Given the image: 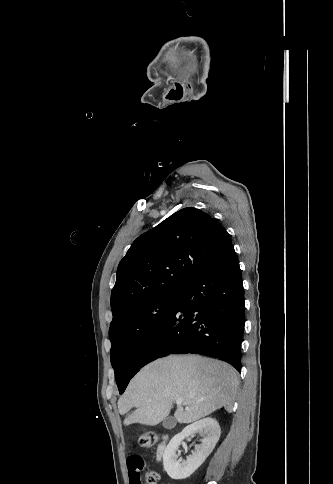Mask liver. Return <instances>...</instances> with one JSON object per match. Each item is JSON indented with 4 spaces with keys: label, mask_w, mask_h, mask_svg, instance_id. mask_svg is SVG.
<instances>
[{
    "label": "liver",
    "mask_w": 333,
    "mask_h": 484,
    "mask_svg": "<svg viewBox=\"0 0 333 484\" xmlns=\"http://www.w3.org/2000/svg\"><path fill=\"white\" fill-rule=\"evenodd\" d=\"M237 386V372L225 362L192 355L168 356L148 364L133 377L118 400V409L124 415L136 407L124 420L125 426H154L181 398L175 419L191 423L222 407L231 413Z\"/></svg>",
    "instance_id": "1"
}]
</instances>
